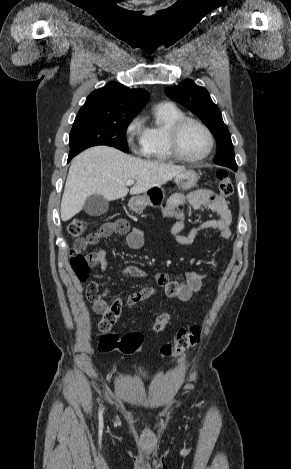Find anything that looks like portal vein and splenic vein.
<instances>
[{
  "instance_id": "portal-vein-and-splenic-vein-1",
  "label": "portal vein and splenic vein",
  "mask_w": 291,
  "mask_h": 469,
  "mask_svg": "<svg viewBox=\"0 0 291 469\" xmlns=\"http://www.w3.org/2000/svg\"><path fill=\"white\" fill-rule=\"evenodd\" d=\"M133 183H134L133 180H128V181L126 182V185H127V186H130V185H132Z\"/></svg>"
}]
</instances>
